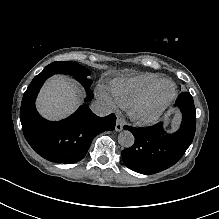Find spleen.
Instances as JSON below:
<instances>
[{
    "label": "spleen",
    "instance_id": "obj_1",
    "mask_svg": "<svg viewBox=\"0 0 219 219\" xmlns=\"http://www.w3.org/2000/svg\"><path fill=\"white\" fill-rule=\"evenodd\" d=\"M180 121H181V114L180 113H176L175 117L173 118V124H172L171 132H174L175 130L178 129Z\"/></svg>",
    "mask_w": 219,
    "mask_h": 219
}]
</instances>
